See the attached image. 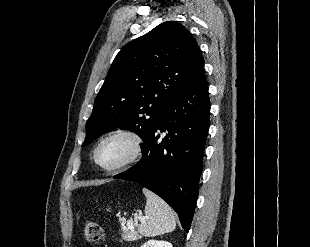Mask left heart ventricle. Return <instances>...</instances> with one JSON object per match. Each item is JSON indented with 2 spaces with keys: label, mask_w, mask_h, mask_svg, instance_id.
<instances>
[{
  "label": "left heart ventricle",
  "mask_w": 310,
  "mask_h": 247,
  "mask_svg": "<svg viewBox=\"0 0 310 247\" xmlns=\"http://www.w3.org/2000/svg\"><path fill=\"white\" fill-rule=\"evenodd\" d=\"M131 145L126 138H113L102 145L98 160L104 166H114L123 161L130 153Z\"/></svg>",
  "instance_id": "b2bd125f"
}]
</instances>
